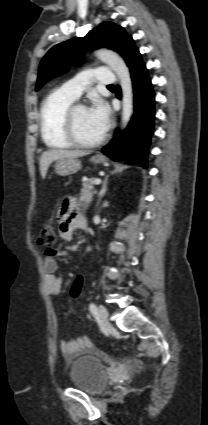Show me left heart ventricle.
I'll list each match as a JSON object with an SVG mask.
<instances>
[{
	"label": "left heart ventricle",
	"instance_id": "obj_1",
	"mask_svg": "<svg viewBox=\"0 0 208 425\" xmlns=\"http://www.w3.org/2000/svg\"><path fill=\"white\" fill-rule=\"evenodd\" d=\"M75 132L84 142H93L102 137V133L90 116L88 109H78L74 116Z\"/></svg>",
	"mask_w": 208,
	"mask_h": 425
}]
</instances>
